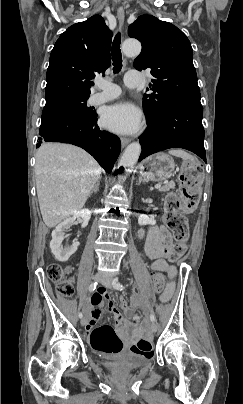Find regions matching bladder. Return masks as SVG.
<instances>
[{
  "instance_id": "bladder-1",
  "label": "bladder",
  "mask_w": 243,
  "mask_h": 404,
  "mask_svg": "<svg viewBox=\"0 0 243 404\" xmlns=\"http://www.w3.org/2000/svg\"><path fill=\"white\" fill-rule=\"evenodd\" d=\"M149 357L138 353H126L120 357L101 360V365L115 373H128L149 363Z\"/></svg>"
}]
</instances>
